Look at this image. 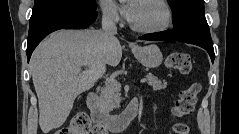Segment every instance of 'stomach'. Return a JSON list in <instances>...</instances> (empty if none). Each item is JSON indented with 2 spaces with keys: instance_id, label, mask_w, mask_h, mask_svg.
<instances>
[{
  "instance_id": "obj_1",
  "label": "stomach",
  "mask_w": 239,
  "mask_h": 134,
  "mask_svg": "<svg viewBox=\"0 0 239 134\" xmlns=\"http://www.w3.org/2000/svg\"><path fill=\"white\" fill-rule=\"evenodd\" d=\"M132 52L135 58L146 68H157L163 60L160 49L154 44L133 47Z\"/></svg>"
}]
</instances>
